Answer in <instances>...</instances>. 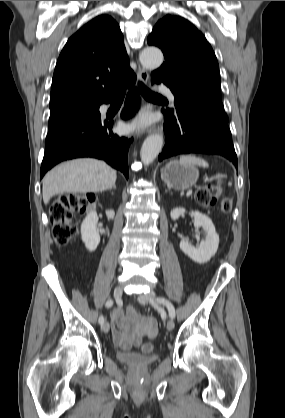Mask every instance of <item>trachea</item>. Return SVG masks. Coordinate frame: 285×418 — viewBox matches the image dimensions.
I'll list each match as a JSON object with an SVG mask.
<instances>
[{
  "mask_svg": "<svg viewBox=\"0 0 285 418\" xmlns=\"http://www.w3.org/2000/svg\"><path fill=\"white\" fill-rule=\"evenodd\" d=\"M139 92L144 98H161V95H158L156 93H153L150 91L143 83H139ZM125 96V90L122 89L117 94V98H124Z\"/></svg>",
  "mask_w": 285,
  "mask_h": 418,
  "instance_id": "3493384b",
  "label": "trachea"
}]
</instances>
